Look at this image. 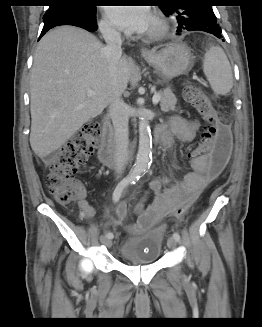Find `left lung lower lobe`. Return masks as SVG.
Instances as JSON below:
<instances>
[{
	"instance_id": "1",
	"label": "left lung lower lobe",
	"mask_w": 262,
	"mask_h": 327,
	"mask_svg": "<svg viewBox=\"0 0 262 327\" xmlns=\"http://www.w3.org/2000/svg\"><path fill=\"white\" fill-rule=\"evenodd\" d=\"M215 36L218 37V38H221L222 37L221 34H216Z\"/></svg>"
}]
</instances>
